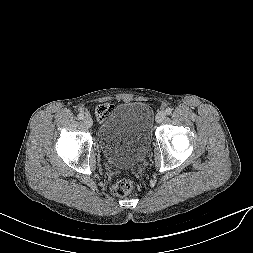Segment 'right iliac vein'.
<instances>
[{"label": "right iliac vein", "instance_id": "63e3f726", "mask_svg": "<svg viewBox=\"0 0 253 253\" xmlns=\"http://www.w3.org/2000/svg\"><path fill=\"white\" fill-rule=\"evenodd\" d=\"M84 124H85L88 128L92 127V125H93V120H92V118L89 117V116L85 117V118H84Z\"/></svg>", "mask_w": 253, "mask_h": 253}]
</instances>
